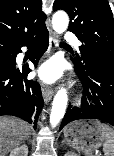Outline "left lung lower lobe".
<instances>
[{
  "label": "left lung lower lobe",
  "instance_id": "1",
  "mask_svg": "<svg viewBox=\"0 0 114 156\" xmlns=\"http://www.w3.org/2000/svg\"><path fill=\"white\" fill-rule=\"evenodd\" d=\"M74 66L85 97L79 108L69 106L59 130L78 119H99L114 126V64L86 55L82 63L74 58Z\"/></svg>",
  "mask_w": 114,
  "mask_h": 156
}]
</instances>
